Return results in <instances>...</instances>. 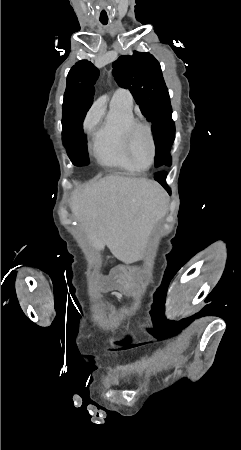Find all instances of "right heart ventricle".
<instances>
[{"label":"right heart ventricle","mask_w":241,"mask_h":450,"mask_svg":"<svg viewBox=\"0 0 241 450\" xmlns=\"http://www.w3.org/2000/svg\"><path fill=\"white\" fill-rule=\"evenodd\" d=\"M134 120L131 103L113 101L105 121L88 130L91 148L98 161L105 165L129 169L136 162H128L129 153H124L123 126Z\"/></svg>","instance_id":"e07e8e85"}]
</instances>
